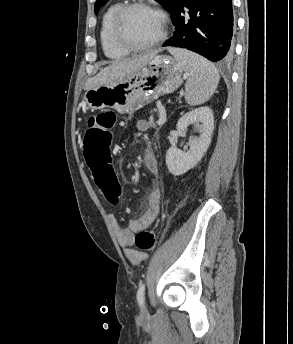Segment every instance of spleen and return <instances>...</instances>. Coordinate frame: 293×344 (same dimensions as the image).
Segmentation results:
<instances>
[{
  "label": "spleen",
  "instance_id": "1",
  "mask_svg": "<svg viewBox=\"0 0 293 344\" xmlns=\"http://www.w3.org/2000/svg\"><path fill=\"white\" fill-rule=\"evenodd\" d=\"M169 52L189 74L185 84L187 103L194 106L208 101L214 94L220 80L214 64L187 50L172 48Z\"/></svg>",
  "mask_w": 293,
  "mask_h": 344
}]
</instances>
